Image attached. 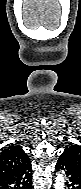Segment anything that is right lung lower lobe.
Here are the masks:
<instances>
[{
	"label": "right lung lower lobe",
	"instance_id": "obj_1",
	"mask_svg": "<svg viewBox=\"0 0 81 189\" xmlns=\"http://www.w3.org/2000/svg\"><path fill=\"white\" fill-rule=\"evenodd\" d=\"M30 160L16 170L0 176V189H32Z\"/></svg>",
	"mask_w": 81,
	"mask_h": 189
}]
</instances>
